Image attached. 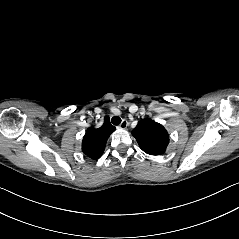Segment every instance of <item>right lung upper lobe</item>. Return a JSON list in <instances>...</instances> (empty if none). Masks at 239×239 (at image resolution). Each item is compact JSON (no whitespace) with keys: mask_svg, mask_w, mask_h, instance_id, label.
<instances>
[{"mask_svg":"<svg viewBox=\"0 0 239 239\" xmlns=\"http://www.w3.org/2000/svg\"><path fill=\"white\" fill-rule=\"evenodd\" d=\"M115 129L110 124L109 117L104 118L100 128H88L82 141L83 153L91 159H98L103 154L106 142Z\"/></svg>","mask_w":239,"mask_h":239,"instance_id":"obj_1","label":"right lung upper lobe"}]
</instances>
